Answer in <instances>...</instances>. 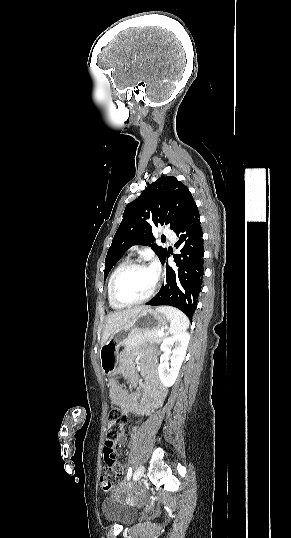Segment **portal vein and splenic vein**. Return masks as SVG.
Returning <instances> with one entry per match:
<instances>
[{
	"label": "portal vein and splenic vein",
	"mask_w": 291,
	"mask_h": 538,
	"mask_svg": "<svg viewBox=\"0 0 291 538\" xmlns=\"http://www.w3.org/2000/svg\"><path fill=\"white\" fill-rule=\"evenodd\" d=\"M158 334H159V335H163L164 332H163V331H158Z\"/></svg>",
	"instance_id": "1"
}]
</instances>
